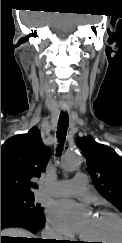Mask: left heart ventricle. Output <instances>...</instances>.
<instances>
[{
  "mask_svg": "<svg viewBox=\"0 0 122 243\" xmlns=\"http://www.w3.org/2000/svg\"><path fill=\"white\" fill-rule=\"evenodd\" d=\"M82 237L99 240L100 243H118L121 238L120 225L110 216L97 214L90 218Z\"/></svg>",
  "mask_w": 122,
  "mask_h": 243,
  "instance_id": "1",
  "label": "left heart ventricle"
}]
</instances>
